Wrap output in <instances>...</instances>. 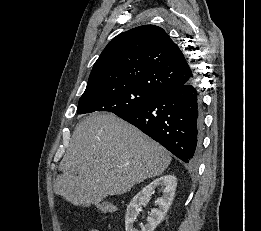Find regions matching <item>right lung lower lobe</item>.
Listing matches in <instances>:
<instances>
[{
  "label": "right lung lower lobe",
  "instance_id": "right-lung-lower-lobe-1",
  "mask_svg": "<svg viewBox=\"0 0 261 231\" xmlns=\"http://www.w3.org/2000/svg\"><path fill=\"white\" fill-rule=\"evenodd\" d=\"M119 117L159 142L183 162L197 163L203 116L202 99L194 78Z\"/></svg>",
  "mask_w": 261,
  "mask_h": 231
}]
</instances>
